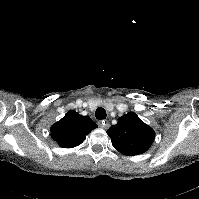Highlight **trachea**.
Listing matches in <instances>:
<instances>
[{"label": "trachea", "mask_w": 199, "mask_h": 199, "mask_svg": "<svg viewBox=\"0 0 199 199\" xmlns=\"http://www.w3.org/2000/svg\"><path fill=\"white\" fill-rule=\"evenodd\" d=\"M95 117L98 120L106 119V111L102 107H98L95 112Z\"/></svg>", "instance_id": "obj_1"}]
</instances>
